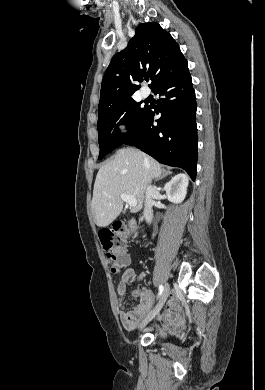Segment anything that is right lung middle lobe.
<instances>
[{"label": "right lung middle lobe", "mask_w": 265, "mask_h": 390, "mask_svg": "<svg viewBox=\"0 0 265 390\" xmlns=\"http://www.w3.org/2000/svg\"><path fill=\"white\" fill-rule=\"evenodd\" d=\"M148 108L147 105L141 106V102L136 103L133 99H129L98 113V142L100 146L98 159H102L117 146L123 144L142 122ZM122 115L127 120L124 123L129 129L127 134L120 133L119 123H117Z\"/></svg>", "instance_id": "1"}]
</instances>
